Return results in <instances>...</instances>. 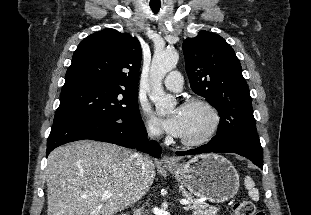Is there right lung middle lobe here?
Returning a JSON list of instances; mask_svg holds the SVG:
<instances>
[{"label": "right lung middle lobe", "mask_w": 311, "mask_h": 215, "mask_svg": "<svg viewBox=\"0 0 311 215\" xmlns=\"http://www.w3.org/2000/svg\"><path fill=\"white\" fill-rule=\"evenodd\" d=\"M137 90L98 84L64 86L54 122L67 119L131 122L141 115Z\"/></svg>", "instance_id": "1"}]
</instances>
